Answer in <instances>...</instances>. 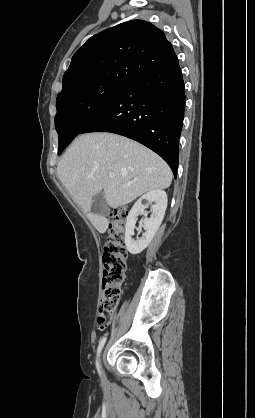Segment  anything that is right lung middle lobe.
Returning a JSON list of instances; mask_svg holds the SVG:
<instances>
[{"mask_svg":"<svg viewBox=\"0 0 255 418\" xmlns=\"http://www.w3.org/2000/svg\"><path fill=\"white\" fill-rule=\"evenodd\" d=\"M127 85L98 81L57 96L55 128L59 138L58 155Z\"/></svg>","mask_w":255,"mask_h":418,"instance_id":"obj_1","label":"right lung middle lobe"}]
</instances>
